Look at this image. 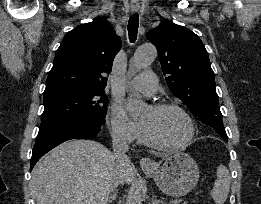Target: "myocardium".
<instances>
[{
	"instance_id": "myocardium-1",
	"label": "myocardium",
	"mask_w": 261,
	"mask_h": 204,
	"mask_svg": "<svg viewBox=\"0 0 261 204\" xmlns=\"http://www.w3.org/2000/svg\"><path fill=\"white\" fill-rule=\"evenodd\" d=\"M154 111H163L166 109H174L180 112L183 117L186 119L188 127H189V133L187 138L175 145H169L161 142L152 132L151 130L146 127L144 124L141 123V128L143 131V134L148 142L149 145L156 149L165 150V151H177L184 149L187 147L191 141L193 140L195 136V124L193 122V119L191 118L190 114L186 111L184 107L181 105L175 103V102H157L150 106Z\"/></svg>"
}]
</instances>
